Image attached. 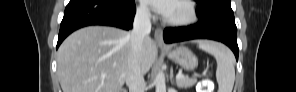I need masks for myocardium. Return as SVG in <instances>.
Instances as JSON below:
<instances>
[{
  "label": "myocardium",
  "mask_w": 296,
  "mask_h": 92,
  "mask_svg": "<svg viewBox=\"0 0 296 92\" xmlns=\"http://www.w3.org/2000/svg\"><path fill=\"white\" fill-rule=\"evenodd\" d=\"M185 9V14L180 18H165V22L171 26H187L193 24L198 18V12L195 4L192 1L181 0L176 1Z\"/></svg>",
  "instance_id": "f54148a6"
}]
</instances>
